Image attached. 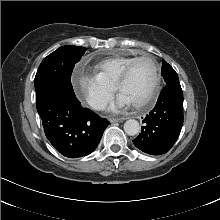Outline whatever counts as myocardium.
<instances>
[{
  "mask_svg": "<svg viewBox=\"0 0 220 220\" xmlns=\"http://www.w3.org/2000/svg\"><path fill=\"white\" fill-rule=\"evenodd\" d=\"M144 59H150L152 64H153V69H154V76H153V82L150 88V91L147 95V97L145 99H143L142 101L138 102V103H134L133 106L136 108H142L145 107L147 105H149L155 98L158 89H159V84H160V65L158 63V61L156 60L155 57H153L152 55L149 54H145L139 57H136L135 59H133L123 70L117 84H116V88L118 92H121V89L123 87V85L127 82V80L130 77V74L132 72L133 67L135 66L136 63H138L141 60Z\"/></svg>",
  "mask_w": 220,
  "mask_h": 220,
  "instance_id": "1",
  "label": "myocardium"
}]
</instances>
